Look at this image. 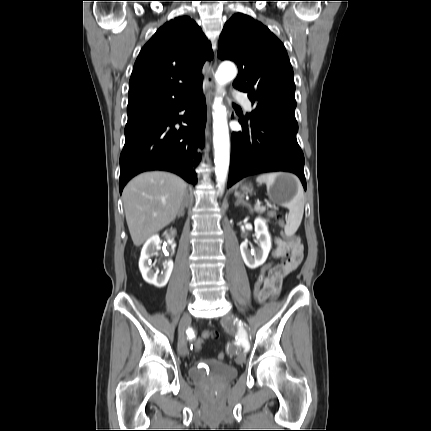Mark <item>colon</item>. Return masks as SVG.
I'll use <instances>...</instances> for the list:
<instances>
[{"instance_id":"colon-1","label":"colon","mask_w":431,"mask_h":431,"mask_svg":"<svg viewBox=\"0 0 431 431\" xmlns=\"http://www.w3.org/2000/svg\"><path fill=\"white\" fill-rule=\"evenodd\" d=\"M272 215L276 219L277 224L280 227V237H284L285 236V233H284L285 222H284L283 218L276 213H273ZM292 239L295 240L297 238L295 236H293ZM271 267H272L271 263H265V265H262L260 267L261 273H258L257 278L253 281V284H252L253 291L251 292V297H252V301H254V304H257L259 299H260L259 293H260V290H262L263 285H264L265 273L268 271V268H271ZM201 336L202 337L195 336L193 338V343L195 344V346H194L195 352H200L201 349L203 348V345H202L203 339L216 338L217 332L211 331V330H203ZM224 358H225L224 353L219 354V359L223 360Z\"/></svg>"}]
</instances>
